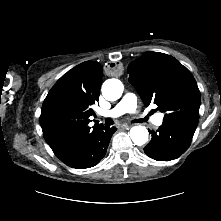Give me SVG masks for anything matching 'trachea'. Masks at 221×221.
Wrapping results in <instances>:
<instances>
[{
  "mask_svg": "<svg viewBox=\"0 0 221 221\" xmlns=\"http://www.w3.org/2000/svg\"><path fill=\"white\" fill-rule=\"evenodd\" d=\"M144 121H145V119H144ZM113 123H114L113 120L108 118V119H106L105 125H112Z\"/></svg>",
  "mask_w": 221,
  "mask_h": 221,
  "instance_id": "3493384b",
  "label": "trachea"
}]
</instances>
